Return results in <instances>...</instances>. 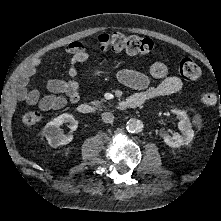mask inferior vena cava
Here are the masks:
<instances>
[{
    "mask_svg": "<svg viewBox=\"0 0 221 221\" xmlns=\"http://www.w3.org/2000/svg\"><path fill=\"white\" fill-rule=\"evenodd\" d=\"M114 120V115L110 112H105L102 114V121L104 123H112Z\"/></svg>",
    "mask_w": 221,
    "mask_h": 221,
    "instance_id": "inferior-vena-cava-1",
    "label": "inferior vena cava"
}]
</instances>
